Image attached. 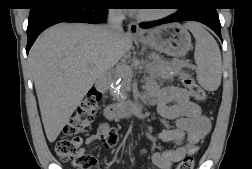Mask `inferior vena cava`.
Wrapping results in <instances>:
<instances>
[{
	"label": "inferior vena cava",
	"instance_id": "602c4592",
	"mask_svg": "<svg viewBox=\"0 0 252 169\" xmlns=\"http://www.w3.org/2000/svg\"><path fill=\"white\" fill-rule=\"evenodd\" d=\"M123 9H109L107 15V25L105 26V34L113 40H119L123 35Z\"/></svg>",
	"mask_w": 252,
	"mask_h": 169
}]
</instances>
